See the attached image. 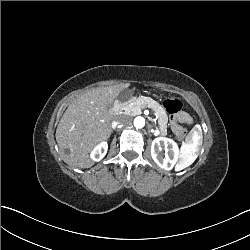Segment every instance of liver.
<instances>
[{"mask_svg": "<svg viewBox=\"0 0 250 250\" xmlns=\"http://www.w3.org/2000/svg\"><path fill=\"white\" fill-rule=\"evenodd\" d=\"M125 88L126 84L95 88L75 98L56 130L61 159L75 167L92 166L88 152L96 142L110 135L109 103Z\"/></svg>", "mask_w": 250, "mask_h": 250, "instance_id": "6515ba94", "label": "liver"}]
</instances>
